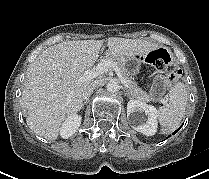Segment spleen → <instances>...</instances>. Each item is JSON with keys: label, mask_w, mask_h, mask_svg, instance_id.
Masks as SVG:
<instances>
[{"label": "spleen", "mask_w": 209, "mask_h": 179, "mask_svg": "<svg viewBox=\"0 0 209 179\" xmlns=\"http://www.w3.org/2000/svg\"><path fill=\"white\" fill-rule=\"evenodd\" d=\"M188 100L187 87L183 82H177L171 87L166 105L159 107L157 118L166 131L175 130L185 113Z\"/></svg>", "instance_id": "obj_1"}]
</instances>
